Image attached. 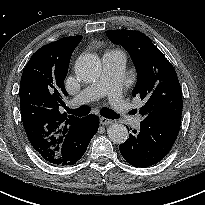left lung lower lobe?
<instances>
[{
    "instance_id": "obj_1",
    "label": "left lung lower lobe",
    "mask_w": 205,
    "mask_h": 205,
    "mask_svg": "<svg viewBox=\"0 0 205 205\" xmlns=\"http://www.w3.org/2000/svg\"><path fill=\"white\" fill-rule=\"evenodd\" d=\"M181 117L143 120L139 130L119 145L124 159L132 166L149 167L161 161L171 150L180 130Z\"/></svg>"
}]
</instances>
